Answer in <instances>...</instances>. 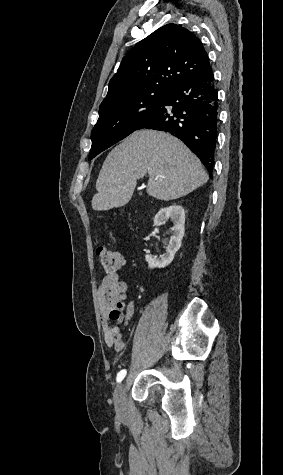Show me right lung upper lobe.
Here are the masks:
<instances>
[{
	"mask_svg": "<svg viewBox=\"0 0 283 475\" xmlns=\"http://www.w3.org/2000/svg\"><path fill=\"white\" fill-rule=\"evenodd\" d=\"M212 71L201 41L188 29L167 24L123 57L100 106L155 92H169L185 80Z\"/></svg>",
	"mask_w": 283,
	"mask_h": 475,
	"instance_id": "1",
	"label": "right lung upper lobe"
}]
</instances>
